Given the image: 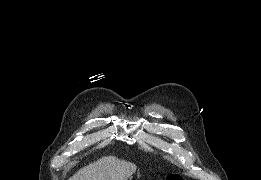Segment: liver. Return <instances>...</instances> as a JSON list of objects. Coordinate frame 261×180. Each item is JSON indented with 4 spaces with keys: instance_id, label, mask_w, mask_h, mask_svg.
Here are the masks:
<instances>
[{
    "instance_id": "liver-1",
    "label": "liver",
    "mask_w": 261,
    "mask_h": 180,
    "mask_svg": "<svg viewBox=\"0 0 261 180\" xmlns=\"http://www.w3.org/2000/svg\"><path fill=\"white\" fill-rule=\"evenodd\" d=\"M137 166L114 156L101 158L78 170L70 180H128L135 174Z\"/></svg>"
}]
</instances>
